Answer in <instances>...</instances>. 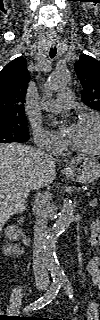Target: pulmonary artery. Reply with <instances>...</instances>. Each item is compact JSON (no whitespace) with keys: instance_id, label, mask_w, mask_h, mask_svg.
<instances>
[{"instance_id":"pulmonary-artery-1","label":"pulmonary artery","mask_w":100,"mask_h":320,"mask_svg":"<svg viewBox=\"0 0 100 320\" xmlns=\"http://www.w3.org/2000/svg\"><path fill=\"white\" fill-rule=\"evenodd\" d=\"M59 97L55 100H48L42 104L43 109L48 111H65L74 102L72 92L69 89H64L59 92Z\"/></svg>"}]
</instances>
